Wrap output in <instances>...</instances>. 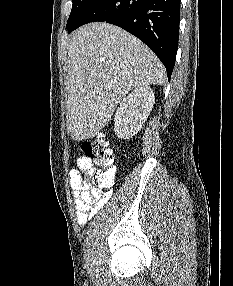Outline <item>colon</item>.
Wrapping results in <instances>:
<instances>
[{
  "mask_svg": "<svg viewBox=\"0 0 233 286\" xmlns=\"http://www.w3.org/2000/svg\"><path fill=\"white\" fill-rule=\"evenodd\" d=\"M82 151L85 158L96 166L93 165L88 172L91 184L101 190L110 187L115 177L114 153L107 141L101 136L85 141L82 144Z\"/></svg>",
  "mask_w": 233,
  "mask_h": 286,
  "instance_id": "colon-1",
  "label": "colon"
}]
</instances>
